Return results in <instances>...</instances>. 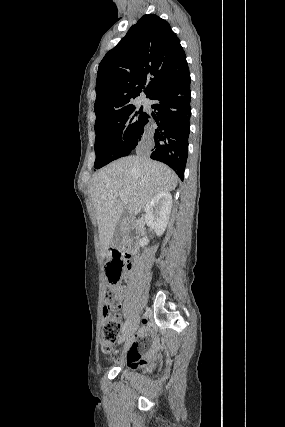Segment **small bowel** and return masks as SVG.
I'll return each instance as SVG.
<instances>
[{
    "instance_id": "small-bowel-1",
    "label": "small bowel",
    "mask_w": 285,
    "mask_h": 427,
    "mask_svg": "<svg viewBox=\"0 0 285 427\" xmlns=\"http://www.w3.org/2000/svg\"><path fill=\"white\" fill-rule=\"evenodd\" d=\"M158 346H152L149 337L141 335L139 339L133 340L129 345L127 362L137 367L145 362H154L158 354Z\"/></svg>"
}]
</instances>
